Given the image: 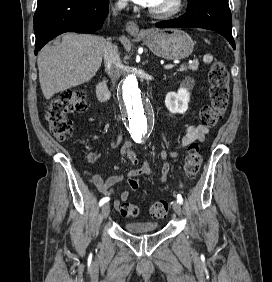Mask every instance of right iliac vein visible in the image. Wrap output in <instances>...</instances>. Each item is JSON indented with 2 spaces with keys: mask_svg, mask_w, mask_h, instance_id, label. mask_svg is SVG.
Masks as SVG:
<instances>
[{
  "mask_svg": "<svg viewBox=\"0 0 272 282\" xmlns=\"http://www.w3.org/2000/svg\"><path fill=\"white\" fill-rule=\"evenodd\" d=\"M110 214V205L108 203L104 204L101 208L102 218L106 219Z\"/></svg>",
  "mask_w": 272,
  "mask_h": 282,
  "instance_id": "right-iliac-vein-1",
  "label": "right iliac vein"
}]
</instances>
